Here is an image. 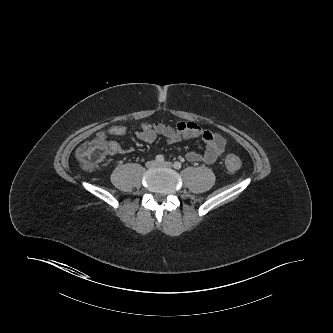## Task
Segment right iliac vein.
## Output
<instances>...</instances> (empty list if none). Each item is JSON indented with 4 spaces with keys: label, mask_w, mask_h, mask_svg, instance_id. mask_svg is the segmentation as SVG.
Instances as JSON below:
<instances>
[{
    "label": "right iliac vein",
    "mask_w": 333,
    "mask_h": 333,
    "mask_svg": "<svg viewBox=\"0 0 333 333\" xmlns=\"http://www.w3.org/2000/svg\"><path fill=\"white\" fill-rule=\"evenodd\" d=\"M146 166H147V168H154V167L157 166V162L154 161V160L148 161V162L146 163Z\"/></svg>",
    "instance_id": "1"
}]
</instances>
